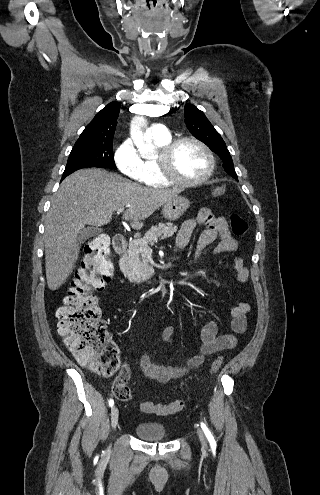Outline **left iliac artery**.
Wrapping results in <instances>:
<instances>
[{"instance_id": "1", "label": "left iliac artery", "mask_w": 320, "mask_h": 495, "mask_svg": "<svg viewBox=\"0 0 320 495\" xmlns=\"http://www.w3.org/2000/svg\"><path fill=\"white\" fill-rule=\"evenodd\" d=\"M201 428L202 430L204 431L209 443H210V446L212 448H215L216 447V441L211 433V431L208 429V427L206 426L205 423L201 422Z\"/></svg>"}]
</instances>
